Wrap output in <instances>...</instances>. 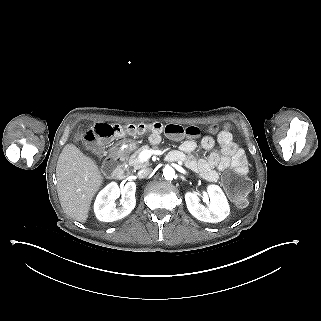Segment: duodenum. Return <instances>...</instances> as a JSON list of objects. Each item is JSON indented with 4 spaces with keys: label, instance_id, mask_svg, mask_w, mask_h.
<instances>
[{
    "label": "duodenum",
    "instance_id": "duodenum-1",
    "mask_svg": "<svg viewBox=\"0 0 321 321\" xmlns=\"http://www.w3.org/2000/svg\"><path fill=\"white\" fill-rule=\"evenodd\" d=\"M124 154L120 148H113L104 163V171L112 177H120L124 172ZM167 160L176 161L177 156L174 153L167 155Z\"/></svg>",
    "mask_w": 321,
    "mask_h": 321
}]
</instances>
